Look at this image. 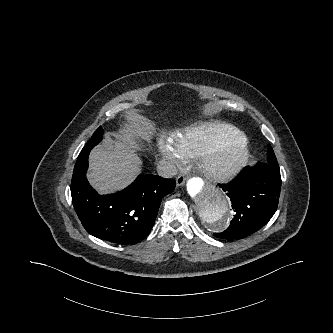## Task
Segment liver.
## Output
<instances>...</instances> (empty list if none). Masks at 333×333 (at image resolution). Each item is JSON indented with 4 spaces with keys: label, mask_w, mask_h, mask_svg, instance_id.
<instances>
[{
    "label": "liver",
    "mask_w": 333,
    "mask_h": 333,
    "mask_svg": "<svg viewBox=\"0 0 333 333\" xmlns=\"http://www.w3.org/2000/svg\"><path fill=\"white\" fill-rule=\"evenodd\" d=\"M146 123L145 118L138 117ZM114 137V138H113ZM145 135L137 127H123L118 133H106L102 145L89 156L87 178L100 193H110L128 186L140 171V159L135 145L142 144Z\"/></svg>",
    "instance_id": "obj_1"
}]
</instances>
